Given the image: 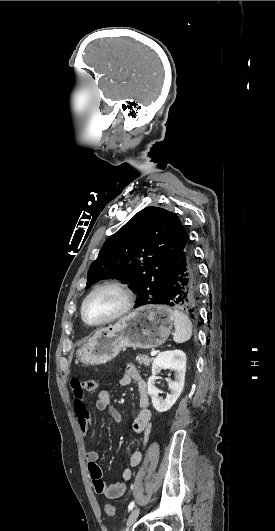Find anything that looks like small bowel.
<instances>
[{
  "mask_svg": "<svg viewBox=\"0 0 275 531\" xmlns=\"http://www.w3.org/2000/svg\"><path fill=\"white\" fill-rule=\"evenodd\" d=\"M68 381L71 384L69 388L70 392L74 396H77L83 392V390H78L75 385L79 384L81 381V376L79 373H70L68 376ZM132 381H136L138 383L139 393V412L132 424V430L136 435L142 437L143 444L146 445L153 427L149 392L147 384L142 378L138 369L133 365H128L119 379V385L121 387H126ZM96 408L100 411L107 410L112 420L115 422H119L121 420V414L119 410L111 405V393L108 390L99 391L96 400ZM74 412L78 418L81 432L83 434H87L92 427V421L83 399L80 402H74ZM142 457V451H132L128 457L129 466L123 468L120 479L111 485H107L102 478V471L98 464L99 452L97 450L87 451L86 461L95 492L107 499H116L121 497L125 493L127 484L132 478V470L130 467L139 465Z\"/></svg>",
  "mask_w": 275,
  "mask_h": 531,
  "instance_id": "1",
  "label": "small bowel"
}]
</instances>
